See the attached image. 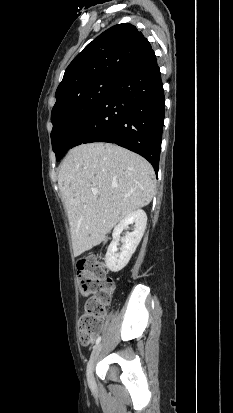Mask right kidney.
Returning a JSON list of instances; mask_svg holds the SVG:
<instances>
[{"mask_svg": "<svg viewBox=\"0 0 233 413\" xmlns=\"http://www.w3.org/2000/svg\"><path fill=\"white\" fill-rule=\"evenodd\" d=\"M132 223H135V228L121 239L123 245L121 251L118 253L117 245L120 241V234ZM146 224V213L143 210L138 209L127 215L117 226H115L112 233L113 240L110 243L105 256V263L109 270L118 272L127 265L143 237Z\"/></svg>", "mask_w": 233, "mask_h": 413, "instance_id": "1", "label": "right kidney"}]
</instances>
